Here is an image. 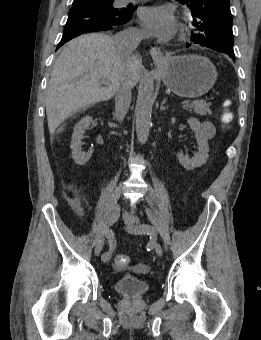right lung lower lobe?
<instances>
[{"label": "right lung lower lobe", "mask_w": 261, "mask_h": 340, "mask_svg": "<svg viewBox=\"0 0 261 340\" xmlns=\"http://www.w3.org/2000/svg\"><path fill=\"white\" fill-rule=\"evenodd\" d=\"M133 12V8H123V12H115L98 4L73 3L58 48L83 33L111 30L116 25L125 24L131 19Z\"/></svg>", "instance_id": "right-lung-lower-lobe-1"}]
</instances>
